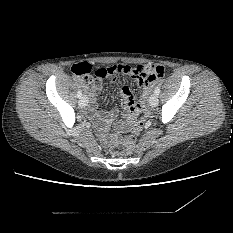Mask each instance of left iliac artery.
I'll return each mask as SVG.
<instances>
[{
  "label": "left iliac artery",
  "instance_id": "obj_1",
  "mask_svg": "<svg viewBox=\"0 0 233 233\" xmlns=\"http://www.w3.org/2000/svg\"><path fill=\"white\" fill-rule=\"evenodd\" d=\"M154 92H155L156 95H159V93H160V87L157 86Z\"/></svg>",
  "mask_w": 233,
  "mask_h": 233
}]
</instances>
